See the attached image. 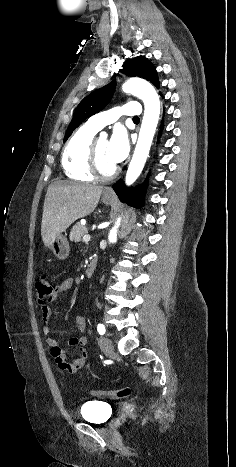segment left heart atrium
<instances>
[{
	"label": "left heart atrium",
	"mask_w": 236,
	"mask_h": 467,
	"mask_svg": "<svg viewBox=\"0 0 236 467\" xmlns=\"http://www.w3.org/2000/svg\"><path fill=\"white\" fill-rule=\"evenodd\" d=\"M130 150L127 131L122 126L115 127L108 141V156L115 164L122 162Z\"/></svg>",
	"instance_id": "1"
}]
</instances>
